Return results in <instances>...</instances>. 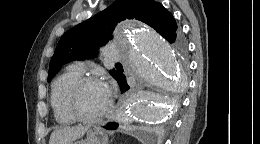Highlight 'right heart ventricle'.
I'll list each match as a JSON object with an SVG mask.
<instances>
[{
	"label": "right heart ventricle",
	"instance_id": "right-heart-ventricle-1",
	"mask_svg": "<svg viewBox=\"0 0 260 144\" xmlns=\"http://www.w3.org/2000/svg\"><path fill=\"white\" fill-rule=\"evenodd\" d=\"M82 76V72L73 66L67 68L53 82L51 90V106L54 118L60 125H69L75 122L66 109V98L73 84Z\"/></svg>",
	"mask_w": 260,
	"mask_h": 144
}]
</instances>
